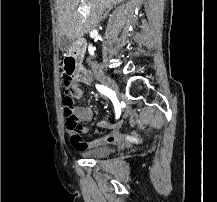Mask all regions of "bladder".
Here are the masks:
<instances>
[{
  "mask_svg": "<svg viewBox=\"0 0 217 202\" xmlns=\"http://www.w3.org/2000/svg\"><path fill=\"white\" fill-rule=\"evenodd\" d=\"M112 147L110 146H99L94 149H90L81 153V156L93 158H104L108 156V153L111 151Z\"/></svg>",
  "mask_w": 217,
  "mask_h": 202,
  "instance_id": "31cf9c89",
  "label": "bladder"
}]
</instances>
